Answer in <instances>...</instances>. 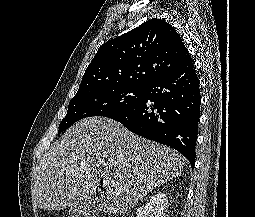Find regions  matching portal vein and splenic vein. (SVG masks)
Listing matches in <instances>:
<instances>
[{"label":"portal vein and splenic vein","instance_id":"18ae733b","mask_svg":"<svg viewBox=\"0 0 255 217\" xmlns=\"http://www.w3.org/2000/svg\"><path fill=\"white\" fill-rule=\"evenodd\" d=\"M103 184L106 185V186H109L110 185V182L106 179L103 180Z\"/></svg>","mask_w":255,"mask_h":217}]
</instances>
